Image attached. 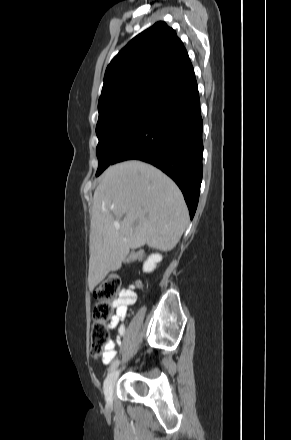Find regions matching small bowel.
Masks as SVG:
<instances>
[{"label":"small bowel","instance_id":"1","mask_svg":"<svg viewBox=\"0 0 291 440\" xmlns=\"http://www.w3.org/2000/svg\"><path fill=\"white\" fill-rule=\"evenodd\" d=\"M135 300L136 294L134 292V287L128 285L120 294V297L113 302L115 314L108 323V328L116 330L117 341H121L126 334V325L124 324V321L127 318L129 306L133 304ZM115 355V342L110 341L102 359L103 363H110Z\"/></svg>","mask_w":291,"mask_h":440}]
</instances>
